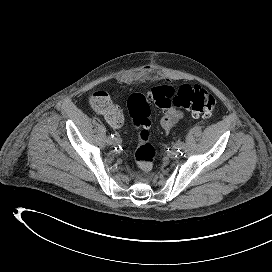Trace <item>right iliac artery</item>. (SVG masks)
Wrapping results in <instances>:
<instances>
[{
    "label": "right iliac artery",
    "mask_w": 272,
    "mask_h": 272,
    "mask_svg": "<svg viewBox=\"0 0 272 272\" xmlns=\"http://www.w3.org/2000/svg\"><path fill=\"white\" fill-rule=\"evenodd\" d=\"M109 134H110V135H109L110 140H112V141L118 140L119 135H118V133H117L116 130H114V129L111 130Z\"/></svg>",
    "instance_id": "obj_1"
}]
</instances>
